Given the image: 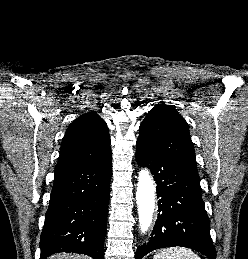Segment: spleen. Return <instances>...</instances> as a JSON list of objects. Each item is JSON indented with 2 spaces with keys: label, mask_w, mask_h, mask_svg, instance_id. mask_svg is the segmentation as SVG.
I'll list each match as a JSON object with an SVG mask.
<instances>
[{
  "label": "spleen",
  "mask_w": 248,
  "mask_h": 259,
  "mask_svg": "<svg viewBox=\"0 0 248 259\" xmlns=\"http://www.w3.org/2000/svg\"><path fill=\"white\" fill-rule=\"evenodd\" d=\"M154 259H201L189 248L172 247L163 249L154 255Z\"/></svg>",
  "instance_id": "3e777b00"
}]
</instances>
